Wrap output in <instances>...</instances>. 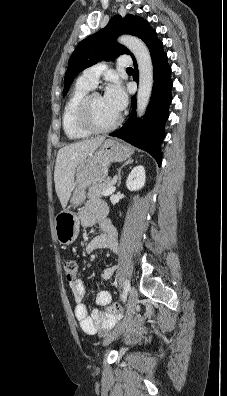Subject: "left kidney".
Segmentation results:
<instances>
[{"mask_svg":"<svg viewBox=\"0 0 227 396\" xmlns=\"http://www.w3.org/2000/svg\"><path fill=\"white\" fill-rule=\"evenodd\" d=\"M145 169L143 166L138 165L130 172L126 186L130 191H136L141 189L145 185Z\"/></svg>","mask_w":227,"mask_h":396,"instance_id":"obj_1","label":"left kidney"}]
</instances>
